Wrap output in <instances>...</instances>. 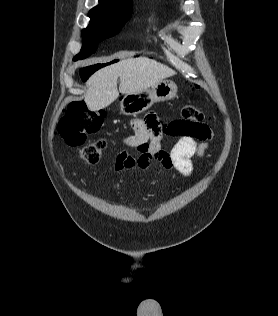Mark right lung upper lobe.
<instances>
[{"label":"right lung upper lobe","mask_w":278,"mask_h":316,"mask_svg":"<svg viewBox=\"0 0 278 316\" xmlns=\"http://www.w3.org/2000/svg\"><path fill=\"white\" fill-rule=\"evenodd\" d=\"M96 8L126 9L132 8V0H99Z\"/></svg>","instance_id":"cb5924a9"}]
</instances>
